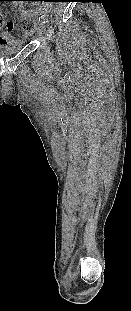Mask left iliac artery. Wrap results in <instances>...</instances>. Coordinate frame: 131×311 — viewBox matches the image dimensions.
<instances>
[{"mask_svg":"<svg viewBox=\"0 0 131 311\" xmlns=\"http://www.w3.org/2000/svg\"><path fill=\"white\" fill-rule=\"evenodd\" d=\"M39 21L42 23V24H45L48 22V19L43 15L41 16V18H39Z\"/></svg>","mask_w":131,"mask_h":311,"instance_id":"left-iliac-artery-1","label":"left iliac artery"}]
</instances>
